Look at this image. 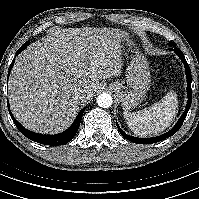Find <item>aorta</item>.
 <instances>
[{
    "mask_svg": "<svg viewBox=\"0 0 199 199\" xmlns=\"http://www.w3.org/2000/svg\"><path fill=\"white\" fill-rule=\"evenodd\" d=\"M112 102V96L108 93H101L97 97V104L102 108H109Z\"/></svg>",
    "mask_w": 199,
    "mask_h": 199,
    "instance_id": "762f6f07",
    "label": "aorta"
}]
</instances>
